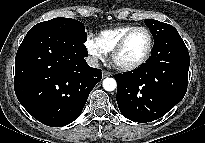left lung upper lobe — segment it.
Here are the masks:
<instances>
[{"instance_id":"5c2ea615","label":"left lung upper lobe","mask_w":205,"mask_h":143,"mask_svg":"<svg viewBox=\"0 0 205 143\" xmlns=\"http://www.w3.org/2000/svg\"><path fill=\"white\" fill-rule=\"evenodd\" d=\"M145 23L153 35L154 42L177 31L172 25L157 20L147 19L145 20Z\"/></svg>"}]
</instances>
